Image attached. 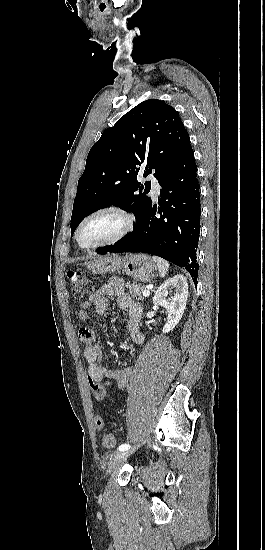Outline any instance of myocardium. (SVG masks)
Returning <instances> with one entry per match:
<instances>
[{"label": "myocardium", "mask_w": 265, "mask_h": 550, "mask_svg": "<svg viewBox=\"0 0 265 550\" xmlns=\"http://www.w3.org/2000/svg\"><path fill=\"white\" fill-rule=\"evenodd\" d=\"M104 213H109V214L116 215L117 217H119L121 219L122 225H121L120 230L115 235H113L111 238H109L105 241H102L100 243H97V244H94V245H91V246H87V247L82 246L79 242V233H80L81 228L91 218H93V217H95L99 214H104ZM134 226H135V217L131 213H129L128 211H126L122 208L116 207V206L100 207L98 209L93 210L89 214H87L79 222V224L77 225V227L75 229V232H74V240H75L77 246L80 249L85 250V251H91V250H95V249H98V248H101V247L110 246V245H113V244L117 243L118 241L122 240L125 236H127L133 230Z\"/></svg>", "instance_id": "f54148a6"}]
</instances>
